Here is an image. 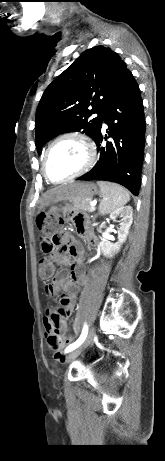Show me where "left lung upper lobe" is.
I'll return each instance as SVG.
<instances>
[{"mask_svg": "<svg viewBox=\"0 0 165 461\" xmlns=\"http://www.w3.org/2000/svg\"><path fill=\"white\" fill-rule=\"evenodd\" d=\"M127 70L110 48L83 52L44 91L36 111V147L65 132L99 133L104 113ZM97 113L98 116L90 119Z\"/></svg>", "mask_w": 165, "mask_h": 461, "instance_id": "obj_1", "label": "left lung upper lobe"}]
</instances>
